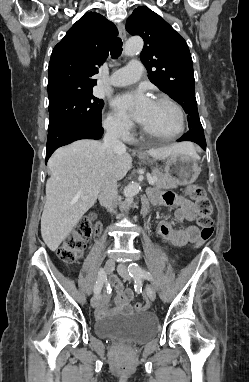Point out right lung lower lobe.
Masks as SVG:
<instances>
[{
  "label": "right lung lower lobe",
  "mask_w": 249,
  "mask_h": 382,
  "mask_svg": "<svg viewBox=\"0 0 249 382\" xmlns=\"http://www.w3.org/2000/svg\"><path fill=\"white\" fill-rule=\"evenodd\" d=\"M103 132L101 121L98 123H74L48 132L46 163L57 148L79 139H100Z\"/></svg>",
  "instance_id": "right-lung-lower-lobe-1"
}]
</instances>
